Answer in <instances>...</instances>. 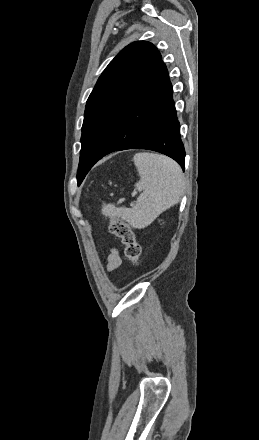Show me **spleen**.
Segmentation results:
<instances>
[{
	"mask_svg": "<svg viewBox=\"0 0 259 440\" xmlns=\"http://www.w3.org/2000/svg\"><path fill=\"white\" fill-rule=\"evenodd\" d=\"M133 161L140 176L135 184L141 192L136 204L132 208H116L108 204L102 213L120 218L133 228L143 229L179 202L184 191V179L179 165L164 155L136 153Z\"/></svg>",
	"mask_w": 259,
	"mask_h": 440,
	"instance_id": "obj_1",
	"label": "spleen"
}]
</instances>
